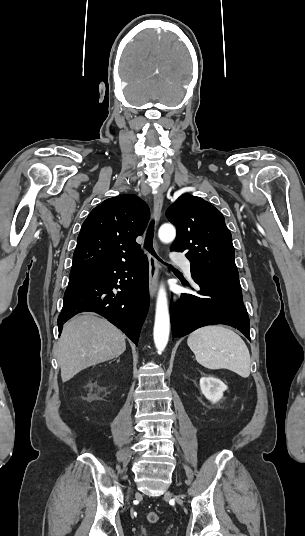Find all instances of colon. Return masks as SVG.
I'll use <instances>...</instances> for the list:
<instances>
[{"label": "colon", "mask_w": 305, "mask_h": 536, "mask_svg": "<svg viewBox=\"0 0 305 536\" xmlns=\"http://www.w3.org/2000/svg\"><path fill=\"white\" fill-rule=\"evenodd\" d=\"M147 521L152 524L157 523L159 521V515L155 512H150L147 515Z\"/></svg>", "instance_id": "1"}]
</instances>
